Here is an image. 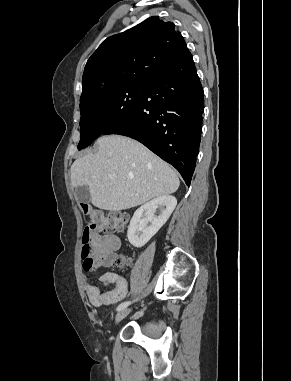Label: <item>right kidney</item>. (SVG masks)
I'll return each mask as SVG.
<instances>
[{"label":"right kidney","mask_w":291,"mask_h":381,"mask_svg":"<svg viewBox=\"0 0 291 381\" xmlns=\"http://www.w3.org/2000/svg\"><path fill=\"white\" fill-rule=\"evenodd\" d=\"M177 205L174 196L157 197L138 208L128 227L127 237L133 246H144L167 222ZM159 210V214L155 213ZM150 223V225H148Z\"/></svg>","instance_id":"1"}]
</instances>
